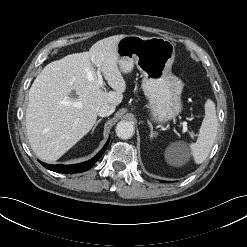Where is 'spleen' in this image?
<instances>
[{"label": "spleen", "mask_w": 247, "mask_h": 247, "mask_svg": "<svg viewBox=\"0 0 247 247\" xmlns=\"http://www.w3.org/2000/svg\"><path fill=\"white\" fill-rule=\"evenodd\" d=\"M218 129L215 103L208 99L205 103V117L199 129V137L190 144L191 154L196 164H201L208 157L215 142Z\"/></svg>", "instance_id": "spleen-1"}]
</instances>
